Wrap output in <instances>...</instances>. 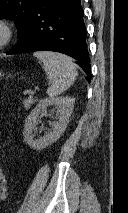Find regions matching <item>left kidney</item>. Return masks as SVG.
Segmentation results:
<instances>
[{
    "instance_id": "left-kidney-1",
    "label": "left kidney",
    "mask_w": 128,
    "mask_h": 213,
    "mask_svg": "<svg viewBox=\"0 0 128 213\" xmlns=\"http://www.w3.org/2000/svg\"><path fill=\"white\" fill-rule=\"evenodd\" d=\"M74 103L75 99L71 97H51L41 100L25 120L24 140L29 147L34 150H42L58 140L67 127ZM50 105L57 107L59 120L52 123L51 132L46 133L43 137L35 138L33 130L36 128L39 114Z\"/></svg>"
}]
</instances>
